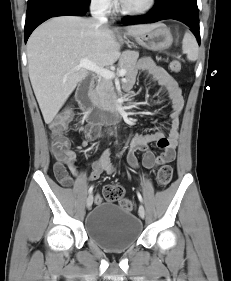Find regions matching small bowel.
Segmentation results:
<instances>
[{"label": "small bowel", "instance_id": "obj_1", "mask_svg": "<svg viewBox=\"0 0 231 281\" xmlns=\"http://www.w3.org/2000/svg\"><path fill=\"white\" fill-rule=\"evenodd\" d=\"M138 70L144 72L149 79L154 81L159 87V94L166 95L171 102L170 124L168 133L165 135L161 132L152 134L136 135L131 143L130 150L127 154V162L132 168H139L140 164L136 152H142V165L146 169H154L164 164L172 162L176 157V147L179 138V120L184 106L182 91L178 83L161 67H159L150 57H143L138 63ZM137 73L133 72L125 82V89L130 90L136 82ZM161 104L163 100H155ZM82 140L81 147H86L91 141L95 140L100 132L97 127L83 125L79 129ZM155 143L161 150L160 154L155 155L149 148V145ZM66 165L76 178L86 179L89 181L96 180L103 172H113L114 167L110 162V151L105 150L100 158L92 164V172L88 176L79 173L76 167V154L69 153L65 162H55L53 166L54 174L63 186H70L72 178L66 170Z\"/></svg>", "mask_w": 231, "mask_h": 281}]
</instances>
